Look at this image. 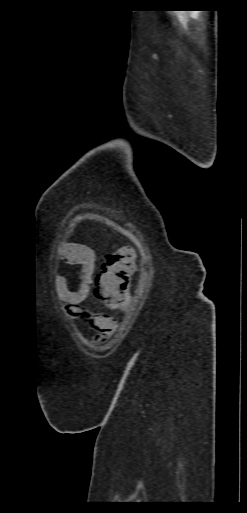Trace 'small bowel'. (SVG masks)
<instances>
[{
    "mask_svg": "<svg viewBox=\"0 0 247 513\" xmlns=\"http://www.w3.org/2000/svg\"><path fill=\"white\" fill-rule=\"evenodd\" d=\"M60 260L68 265L82 267V281L77 289H71L64 274L54 276V285L59 298L64 302V311L74 318H85L98 330L97 344L104 343L116 330L117 321L109 315H96L83 306L88 299L92 284L94 256L85 247L68 243L60 248Z\"/></svg>",
    "mask_w": 247,
    "mask_h": 513,
    "instance_id": "1",
    "label": "small bowel"
}]
</instances>
